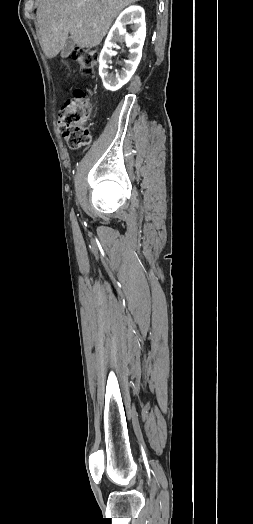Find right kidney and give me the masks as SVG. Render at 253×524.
<instances>
[{"mask_svg": "<svg viewBox=\"0 0 253 524\" xmlns=\"http://www.w3.org/2000/svg\"><path fill=\"white\" fill-rule=\"evenodd\" d=\"M132 24L134 32L128 34L125 25ZM146 36L145 12L142 7L131 6L125 9L117 18L115 24L108 33L104 47L99 57V75L103 85L107 90L117 91L126 84L142 57V47ZM117 42H125L130 48L128 59L125 60L124 67L115 76L108 73V64L111 63L113 56L112 48L116 47Z\"/></svg>", "mask_w": 253, "mask_h": 524, "instance_id": "ca27d5eb", "label": "right kidney"}]
</instances>
